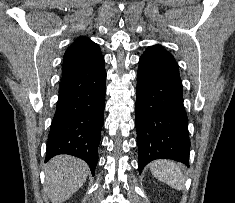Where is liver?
<instances>
[{
	"instance_id": "liver-1",
	"label": "liver",
	"mask_w": 235,
	"mask_h": 203,
	"mask_svg": "<svg viewBox=\"0 0 235 203\" xmlns=\"http://www.w3.org/2000/svg\"><path fill=\"white\" fill-rule=\"evenodd\" d=\"M89 175L87 164L70 155L52 158L45 167V191L52 203H62L81 188Z\"/></svg>"
}]
</instances>
